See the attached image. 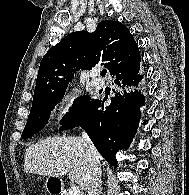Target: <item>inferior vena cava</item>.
I'll use <instances>...</instances> for the list:
<instances>
[{"label": "inferior vena cava", "instance_id": "1", "mask_svg": "<svg viewBox=\"0 0 189 195\" xmlns=\"http://www.w3.org/2000/svg\"><path fill=\"white\" fill-rule=\"evenodd\" d=\"M82 138L86 142L88 150V161H89V179H88V195H100L101 192V165L99 154L91 142L88 134L82 132Z\"/></svg>", "mask_w": 189, "mask_h": 195}]
</instances>
